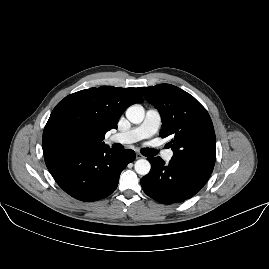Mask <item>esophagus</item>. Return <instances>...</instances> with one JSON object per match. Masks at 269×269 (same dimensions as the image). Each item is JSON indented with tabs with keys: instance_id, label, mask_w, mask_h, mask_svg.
<instances>
[{
	"instance_id": "esophagus-1",
	"label": "esophagus",
	"mask_w": 269,
	"mask_h": 269,
	"mask_svg": "<svg viewBox=\"0 0 269 269\" xmlns=\"http://www.w3.org/2000/svg\"><path fill=\"white\" fill-rule=\"evenodd\" d=\"M143 158V156L140 153H136V159Z\"/></svg>"
}]
</instances>
